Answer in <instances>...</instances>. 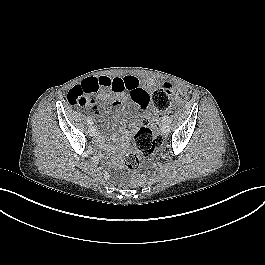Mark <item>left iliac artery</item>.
I'll return each instance as SVG.
<instances>
[{
  "mask_svg": "<svg viewBox=\"0 0 265 265\" xmlns=\"http://www.w3.org/2000/svg\"><path fill=\"white\" fill-rule=\"evenodd\" d=\"M169 120V116L168 115H165L163 118H162V121L164 123H167V121Z\"/></svg>",
  "mask_w": 265,
  "mask_h": 265,
  "instance_id": "44dca946",
  "label": "left iliac artery"
}]
</instances>
